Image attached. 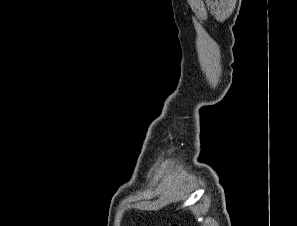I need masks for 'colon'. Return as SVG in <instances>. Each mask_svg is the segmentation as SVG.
<instances>
[{"instance_id":"colon-1","label":"colon","mask_w":297,"mask_h":226,"mask_svg":"<svg viewBox=\"0 0 297 226\" xmlns=\"http://www.w3.org/2000/svg\"><path fill=\"white\" fill-rule=\"evenodd\" d=\"M173 226H179V225L175 224V225H173Z\"/></svg>"}]
</instances>
